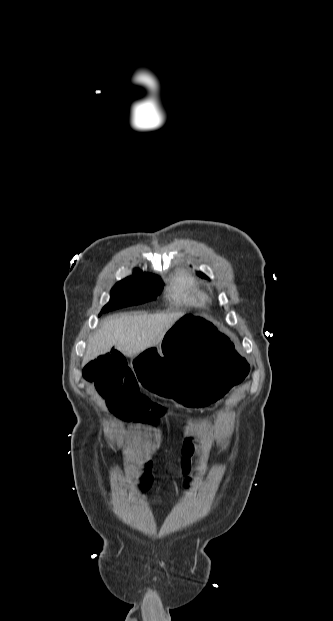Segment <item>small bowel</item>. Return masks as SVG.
Masks as SVG:
<instances>
[{"label": "small bowel", "instance_id": "small-bowel-1", "mask_svg": "<svg viewBox=\"0 0 333 621\" xmlns=\"http://www.w3.org/2000/svg\"><path fill=\"white\" fill-rule=\"evenodd\" d=\"M82 376L93 385L108 410L121 421L159 427L162 419L170 415L165 406L151 401L139 392L138 382L125 355L116 348L91 358L84 366ZM193 454L194 446L187 439L183 442L180 460L184 476H188L191 471ZM143 480L145 486L150 484L149 472L144 475Z\"/></svg>", "mask_w": 333, "mask_h": 621}]
</instances>
